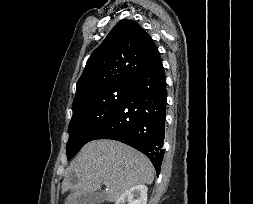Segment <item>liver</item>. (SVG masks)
I'll list each match as a JSON object with an SVG mask.
<instances>
[{
    "instance_id": "liver-1",
    "label": "liver",
    "mask_w": 253,
    "mask_h": 204,
    "mask_svg": "<svg viewBox=\"0 0 253 204\" xmlns=\"http://www.w3.org/2000/svg\"><path fill=\"white\" fill-rule=\"evenodd\" d=\"M154 167L137 150L113 140L87 143L71 162L62 182V193L70 191L65 204H78V198L106 185L104 197L116 201L128 189L152 184Z\"/></svg>"
}]
</instances>
